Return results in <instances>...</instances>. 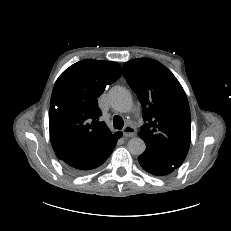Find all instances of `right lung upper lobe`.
I'll return each mask as SVG.
<instances>
[{
    "label": "right lung upper lobe",
    "mask_w": 231,
    "mask_h": 231,
    "mask_svg": "<svg viewBox=\"0 0 231 231\" xmlns=\"http://www.w3.org/2000/svg\"><path fill=\"white\" fill-rule=\"evenodd\" d=\"M121 75L117 62L85 59L59 76L49 114L50 140L58 158L96 150L119 133L112 134L100 121L97 99Z\"/></svg>",
    "instance_id": "obj_1"
}]
</instances>
